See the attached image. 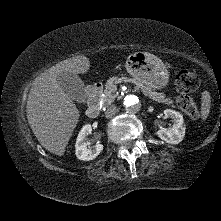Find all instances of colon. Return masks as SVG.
I'll list each match as a JSON object with an SVG mask.
<instances>
[{
    "mask_svg": "<svg viewBox=\"0 0 221 221\" xmlns=\"http://www.w3.org/2000/svg\"><path fill=\"white\" fill-rule=\"evenodd\" d=\"M174 74L178 107L192 119H198L200 113L192 97V93L196 91L200 85L198 76L184 69H177Z\"/></svg>",
    "mask_w": 221,
    "mask_h": 221,
    "instance_id": "colon-1",
    "label": "colon"
}]
</instances>
